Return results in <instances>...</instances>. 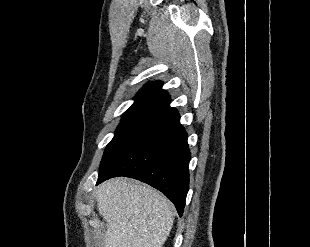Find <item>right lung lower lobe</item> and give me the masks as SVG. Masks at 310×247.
Wrapping results in <instances>:
<instances>
[{"instance_id":"obj_1","label":"right lung lower lobe","mask_w":310,"mask_h":247,"mask_svg":"<svg viewBox=\"0 0 310 247\" xmlns=\"http://www.w3.org/2000/svg\"><path fill=\"white\" fill-rule=\"evenodd\" d=\"M189 161L187 133L178 111L169 108L148 121L100 168L97 185L116 176L138 179L160 190L182 216Z\"/></svg>"}]
</instances>
